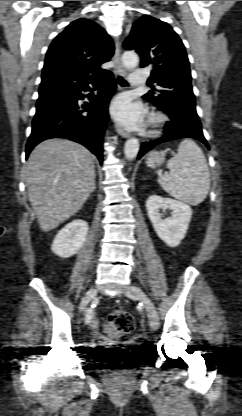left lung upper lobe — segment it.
<instances>
[{"label": "left lung upper lobe", "instance_id": "left-lung-upper-lobe-1", "mask_svg": "<svg viewBox=\"0 0 242 416\" xmlns=\"http://www.w3.org/2000/svg\"><path fill=\"white\" fill-rule=\"evenodd\" d=\"M141 56V67L152 65L150 78L161 88L143 96L166 113L190 108L195 110L191 71L185 47L167 23L143 15L123 43Z\"/></svg>", "mask_w": 242, "mask_h": 416}]
</instances>
